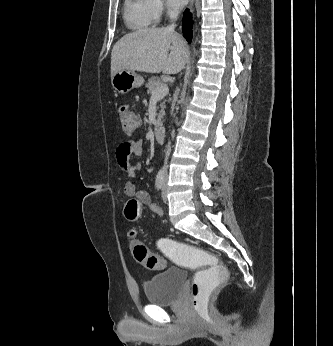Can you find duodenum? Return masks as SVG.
I'll return each mask as SVG.
<instances>
[{
  "label": "duodenum",
  "instance_id": "410a0bca",
  "mask_svg": "<svg viewBox=\"0 0 333 346\" xmlns=\"http://www.w3.org/2000/svg\"><path fill=\"white\" fill-rule=\"evenodd\" d=\"M155 138L159 143H162L165 139V128L162 126H158L154 131Z\"/></svg>",
  "mask_w": 333,
  "mask_h": 346
}]
</instances>
